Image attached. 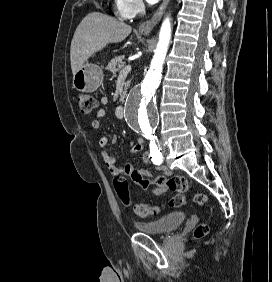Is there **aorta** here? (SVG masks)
<instances>
[{"label": "aorta", "mask_w": 272, "mask_h": 282, "mask_svg": "<svg viewBox=\"0 0 272 282\" xmlns=\"http://www.w3.org/2000/svg\"><path fill=\"white\" fill-rule=\"evenodd\" d=\"M171 39V23L167 17L161 26L159 42L145 78L129 92L126 99V121L146 138L152 139L158 123L155 102L156 91L161 82L162 67Z\"/></svg>", "instance_id": "aorta-1"}]
</instances>
